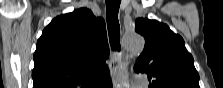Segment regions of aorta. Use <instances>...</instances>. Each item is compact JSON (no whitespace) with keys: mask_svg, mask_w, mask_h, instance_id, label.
<instances>
[{"mask_svg":"<svg viewBox=\"0 0 223 88\" xmlns=\"http://www.w3.org/2000/svg\"><path fill=\"white\" fill-rule=\"evenodd\" d=\"M123 44L128 52L126 61H124L118 70L116 78V86L118 88H125L129 86V74H128V59L141 53L144 49V38L136 33L128 34L123 39Z\"/></svg>","mask_w":223,"mask_h":88,"instance_id":"762f6f07","label":"aorta"}]
</instances>
